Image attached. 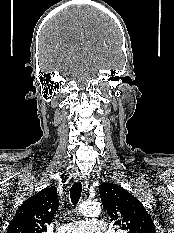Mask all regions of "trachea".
<instances>
[{"label": "trachea", "instance_id": "obj_1", "mask_svg": "<svg viewBox=\"0 0 174 233\" xmlns=\"http://www.w3.org/2000/svg\"><path fill=\"white\" fill-rule=\"evenodd\" d=\"M82 184L81 182L74 183L70 190L71 202L76 205L81 197Z\"/></svg>", "mask_w": 174, "mask_h": 233}]
</instances>
